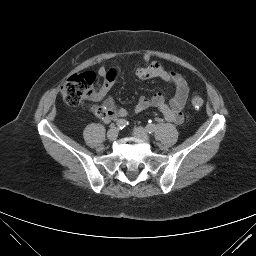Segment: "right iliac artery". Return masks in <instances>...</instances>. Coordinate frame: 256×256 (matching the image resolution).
<instances>
[{
  "instance_id": "82829eb1",
  "label": "right iliac artery",
  "mask_w": 256,
  "mask_h": 256,
  "mask_svg": "<svg viewBox=\"0 0 256 256\" xmlns=\"http://www.w3.org/2000/svg\"><path fill=\"white\" fill-rule=\"evenodd\" d=\"M116 125L119 129H123L128 125V121H126L125 119H119L117 120Z\"/></svg>"
}]
</instances>
